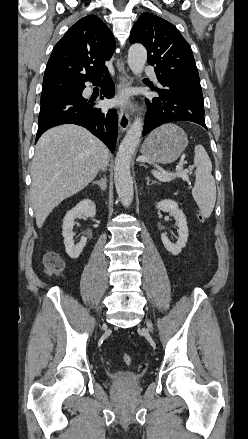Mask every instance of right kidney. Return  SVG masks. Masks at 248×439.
<instances>
[{
  "label": "right kidney",
  "mask_w": 248,
  "mask_h": 439,
  "mask_svg": "<svg viewBox=\"0 0 248 439\" xmlns=\"http://www.w3.org/2000/svg\"><path fill=\"white\" fill-rule=\"evenodd\" d=\"M96 215V205L90 199H84L74 208L68 211L63 219L62 235L67 254L72 259H77L83 251L87 237L83 236L78 244H74L73 226L75 219L81 217H94Z\"/></svg>",
  "instance_id": "right-kidney-1"
}]
</instances>
